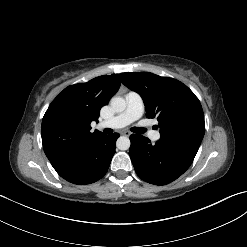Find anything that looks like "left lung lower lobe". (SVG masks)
I'll list each match as a JSON object with an SVG mask.
<instances>
[{"instance_id":"left-lung-lower-lobe-1","label":"left lung lower lobe","mask_w":247,"mask_h":247,"mask_svg":"<svg viewBox=\"0 0 247 247\" xmlns=\"http://www.w3.org/2000/svg\"><path fill=\"white\" fill-rule=\"evenodd\" d=\"M129 155L137 175L144 181L168 184L181 176L192 164L194 157L160 140L151 144L148 138L132 134Z\"/></svg>"}]
</instances>
